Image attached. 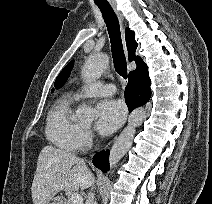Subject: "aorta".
<instances>
[{
    "label": "aorta",
    "instance_id": "obj_1",
    "mask_svg": "<svg viewBox=\"0 0 212 204\" xmlns=\"http://www.w3.org/2000/svg\"><path fill=\"white\" fill-rule=\"evenodd\" d=\"M109 64V57L104 53L91 54L85 61L81 76L83 81L91 83L101 77ZM95 112L92 107L81 104L78 106L76 116L81 121H92ZM147 118V113L143 108L134 110L128 119V125L116 139L110 152V166L114 167L120 159L130 149L136 132V127L140 126Z\"/></svg>",
    "mask_w": 212,
    "mask_h": 204
}]
</instances>
